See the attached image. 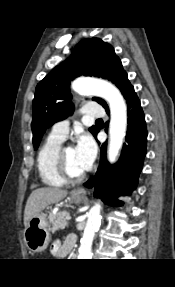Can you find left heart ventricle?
Returning a JSON list of instances; mask_svg holds the SVG:
<instances>
[{
    "label": "left heart ventricle",
    "mask_w": 175,
    "mask_h": 287,
    "mask_svg": "<svg viewBox=\"0 0 175 287\" xmlns=\"http://www.w3.org/2000/svg\"><path fill=\"white\" fill-rule=\"evenodd\" d=\"M65 159L67 163V167L72 174H80L84 172L80 161L75 152V148L67 147L65 150Z\"/></svg>",
    "instance_id": "obj_1"
}]
</instances>
